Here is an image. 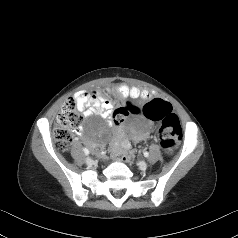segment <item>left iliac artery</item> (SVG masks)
Returning <instances> with one entry per match:
<instances>
[{
  "mask_svg": "<svg viewBox=\"0 0 238 238\" xmlns=\"http://www.w3.org/2000/svg\"><path fill=\"white\" fill-rule=\"evenodd\" d=\"M144 156L145 157H148L149 156V153L146 151V152H144Z\"/></svg>",
  "mask_w": 238,
  "mask_h": 238,
  "instance_id": "1",
  "label": "left iliac artery"
}]
</instances>
